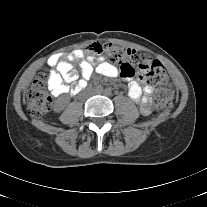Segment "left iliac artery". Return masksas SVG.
<instances>
[{
  "label": "left iliac artery",
  "mask_w": 207,
  "mask_h": 207,
  "mask_svg": "<svg viewBox=\"0 0 207 207\" xmlns=\"http://www.w3.org/2000/svg\"><path fill=\"white\" fill-rule=\"evenodd\" d=\"M105 91L107 94H110V92H111L109 89H106Z\"/></svg>",
  "instance_id": "obj_1"
}]
</instances>
